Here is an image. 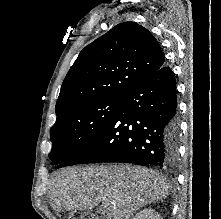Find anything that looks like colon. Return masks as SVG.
<instances>
[{"mask_svg": "<svg viewBox=\"0 0 221 219\" xmlns=\"http://www.w3.org/2000/svg\"><path fill=\"white\" fill-rule=\"evenodd\" d=\"M69 219H98V218L84 211H75L70 215Z\"/></svg>", "mask_w": 221, "mask_h": 219, "instance_id": "obj_1", "label": "colon"}]
</instances>
